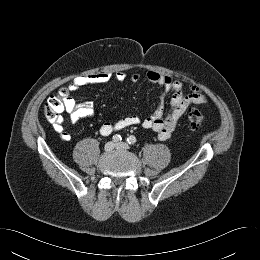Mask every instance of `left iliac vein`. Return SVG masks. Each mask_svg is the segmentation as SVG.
<instances>
[{
  "mask_svg": "<svg viewBox=\"0 0 260 260\" xmlns=\"http://www.w3.org/2000/svg\"><path fill=\"white\" fill-rule=\"evenodd\" d=\"M116 148L117 149H121V150H127L129 148L128 144L124 143V142H120L116 144Z\"/></svg>",
  "mask_w": 260,
  "mask_h": 260,
  "instance_id": "4c4485c4",
  "label": "left iliac vein"
}]
</instances>
